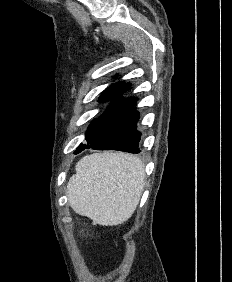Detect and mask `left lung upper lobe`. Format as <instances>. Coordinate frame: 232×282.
Here are the masks:
<instances>
[{
	"instance_id": "obj_1",
	"label": "left lung upper lobe",
	"mask_w": 232,
	"mask_h": 282,
	"mask_svg": "<svg viewBox=\"0 0 232 282\" xmlns=\"http://www.w3.org/2000/svg\"><path fill=\"white\" fill-rule=\"evenodd\" d=\"M124 85V82H118V84L111 86L110 88H107L105 92L100 96V101L106 102L109 101L113 95ZM97 119H94L93 122L89 125L88 131L86 134V140H89L91 137L95 125H96Z\"/></svg>"
}]
</instances>
